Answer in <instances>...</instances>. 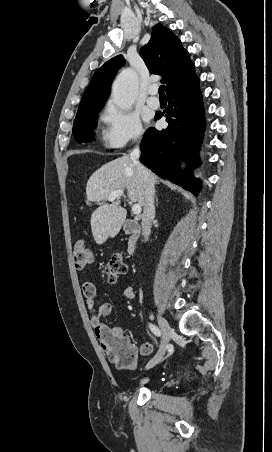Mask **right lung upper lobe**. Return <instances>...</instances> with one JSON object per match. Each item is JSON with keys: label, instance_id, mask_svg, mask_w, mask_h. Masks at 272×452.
Masks as SVG:
<instances>
[{"label": "right lung upper lobe", "instance_id": "1", "mask_svg": "<svg viewBox=\"0 0 272 452\" xmlns=\"http://www.w3.org/2000/svg\"><path fill=\"white\" fill-rule=\"evenodd\" d=\"M140 56L151 73L163 76L161 82L166 84L167 94L196 76L189 53L182 47L180 40L161 24L154 26L151 39L141 48ZM124 64L125 59L118 55L95 72L78 111L104 105L110 95L111 83Z\"/></svg>", "mask_w": 272, "mask_h": 452}]
</instances>
